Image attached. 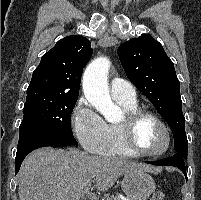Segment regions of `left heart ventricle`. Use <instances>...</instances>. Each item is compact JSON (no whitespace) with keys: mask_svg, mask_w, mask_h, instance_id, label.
I'll return each instance as SVG.
<instances>
[{"mask_svg":"<svg viewBox=\"0 0 201 200\" xmlns=\"http://www.w3.org/2000/svg\"><path fill=\"white\" fill-rule=\"evenodd\" d=\"M136 145L143 151L156 152L165 145V135L161 127L151 119H144L135 131Z\"/></svg>","mask_w":201,"mask_h":200,"instance_id":"b2bd125f","label":"left heart ventricle"}]
</instances>
